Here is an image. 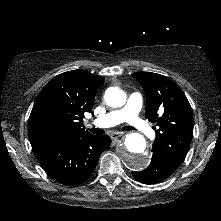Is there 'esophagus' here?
Instances as JSON below:
<instances>
[{
	"mask_svg": "<svg viewBox=\"0 0 221 221\" xmlns=\"http://www.w3.org/2000/svg\"><path fill=\"white\" fill-rule=\"evenodd\" d=\"M124 133H113L111 135V139L114 141V142H117L119 141L120 138L124 137Z\"/></svg>",
	"mask_w": 221,
	"mask_h": 221,
	"instance_id": "esophagus-1",
	"label": "esophagus"
}]
</instances>
